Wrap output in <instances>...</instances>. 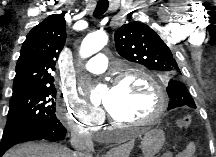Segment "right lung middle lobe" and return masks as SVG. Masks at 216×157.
I'll list each match as a JSON object with an SVG mask.
<instances>
[{
    "label": "right lung middle lobe",
    "mask_w": 216,
    "mask_h": 157,
    "mask_svg": "<svg viewBox=\"0 0 216 157\" xmlns=\"http://www.w3.org/2000/svg\"><path fill=\"white\" fill-rule=\"evenodd\" d=\"M55 98V87L24 90L12 95L3 136L34 125L58 123Z\"/></svg>",
    "instance_id": "dd1d6c3e"
}]
</instances>
